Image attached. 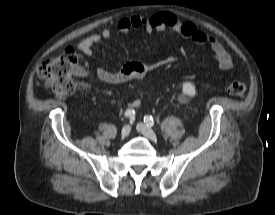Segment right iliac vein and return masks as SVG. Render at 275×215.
<instances>
[{
    "instance_id": "right-iliac-vein-1",
    "label": "right iliac vein",
    "mask_w": 275,
    "mask_h": 215,
    "mask_svg": "<svg viewBox=\"0 0 275 215\" xmlns=\"http://www.w3.org/2000/svg\"><path fill=\"white\" fill-rule=\"evenodd\" d=\"M131 127L130 125H125L121 130L122 137H127L130 134Z\"/></svg>"
}]
</instances>
